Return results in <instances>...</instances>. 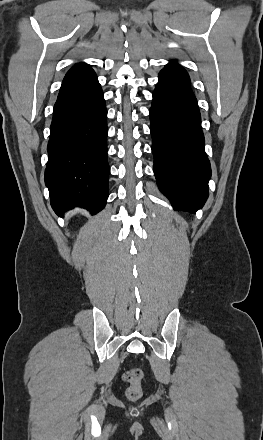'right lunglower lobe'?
Instances as JSON below:
<instances>
[{
  "label": "right lung lower lobe",
  "mask_w": 263,
  "mask_h": 440,
  "mask_svg": "<svg viewBox=\"0 0 263 440\" xmlns=\"http://www.w3.org/2000/svg\"><path fill=\"white\" fill-rule=\"evenodd\" d=\"M107 110L93 70L62 83L54 105L45 183L54 211L95 214L108 198Z\"/></svg>",
  "instance_id": "1"
}]
</instances>
